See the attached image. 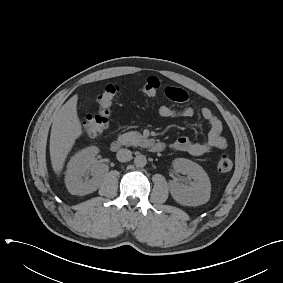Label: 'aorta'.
Here are the masks:
<instances>
[{
    "instance_id": "aorta-1",
    "label": "aorta",
    "mask_w": 283,
    "mask_h": 283,
    "mask_svg": "<svg viewBox=\"0 0 283 283\" xmlns=\"http://www.w3.org/2000/svg\"><path fill=\"white\" fill-rule=\"evenodd\" d=\"M134 164H135L136 167L142 168L147 164V159L144 155L138 154L134 158Z\"/></svg>"
}]
</instances>
